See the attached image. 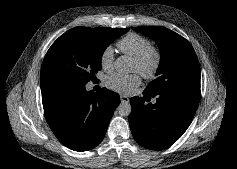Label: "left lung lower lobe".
I'll return each mask as SVG.
<instances>
[{
	"mask_svg": "<svg viewBox=\"0 0 237 169\" xmlns=\"http://www.w3.org/2000/svg\"><path fill=\"white\" fill-rule=\"evenodd\" d=\"M144 99L157 97L156 104L145 105L144 100L132 97L129 124L134 139L151 150H163L175 143L189 127L198 103L200 91L168 89Z\"/></svg>",
	"mask_w": 237,
	"mask_h": 169,
	"instance_id": "obj_1",
	"label": "left lung lower lobe"
}]
</instances>
